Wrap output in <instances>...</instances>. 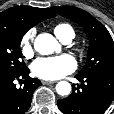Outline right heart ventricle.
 Segmentation results:
<instances>
[{
	"mask_svg": "<svg viewBox=\"0 0 114 114\" xmlns=\"http://www.w3.org/2000/svg\"><path fill=\"white\" fill-rule=\"evenodd\" d=\"M55 35L61 40H65L69 36L74 37V30L71 25L67 23H59L54 27Z\"/></svg>",
	"mask_w": 114,
	"mask_h": 114,
	"instance_id": "right-heart-ventricle-1",
	"label": "right heart ventricle"
}]
</instances>
